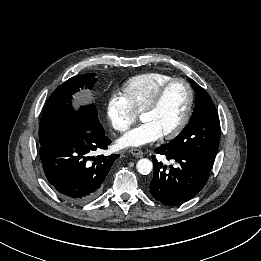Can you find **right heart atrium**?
Instances as JSON below:
<instances>
[{"label": "right heart atrium", "instance_id": "1", "mask_svg": "<svg viewBox=\"0 0 261 261\" xmlns=\"http://www.w3.org/2000/svg\"><path fill=\"white\" fill-rule=\"evenodd\" d=\"M107 117L112 128L125 132L136 121L137 113L123 94L115 93L107 102Z\"/></svg>", "mask_w": 261, "mask_h": 261}]
</instances>
